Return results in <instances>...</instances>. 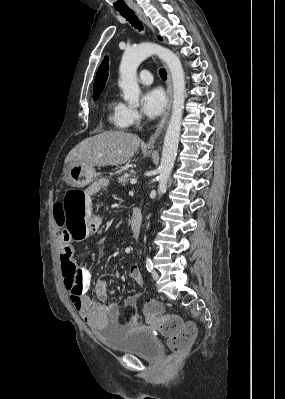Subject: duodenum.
<instances>
[{
  "instance_id": "duodenum-1",
  "label": "duodenum",
  "mask_w": 285,
  "mask_h": 399,
  "mask_svg": "<svg viewBox=\"0 0 285 399\" xmlns=\"http://www.w3.org/2000/svg\"><path fill=\"white\" fill-rule=\"evenodd\" d=\"M142 212L139 208H134L131 218V230L135 239L140 237V232L142 229Z\"/></svg>"
}]
</instances>
